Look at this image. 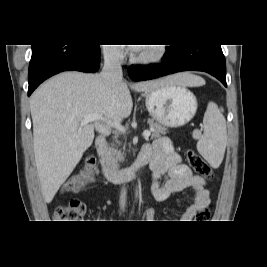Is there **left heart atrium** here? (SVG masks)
Segmentation results:
<instances>
[{"label": "left heart atrium", "instance_id": "1", "mask_svg": "<svg viewBox=\"0 0 267 267\" xmlns=\"http://www.w3.org/2000/svg\"><path fill=\"white\" fill-rule=\"evenodd\" d=\"M133 49H134V50H136V51L138 50L136 47H135V48H133Z\"/></svg>", "mask_w": 267, "mask_h": 267}]
</instances>
